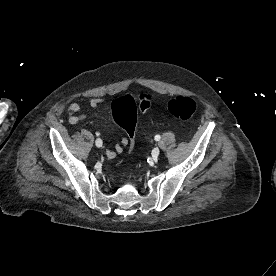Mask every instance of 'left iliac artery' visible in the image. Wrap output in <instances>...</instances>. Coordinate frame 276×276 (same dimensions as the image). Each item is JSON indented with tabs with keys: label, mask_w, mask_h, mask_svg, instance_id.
<instances>
[{
	"label": "left iliac artery",
	"mask_w": 276,
	"mask_h": 276,
	"mask_svg": "<svg viewBox=\"0 0 276 276\" xmlns=\"http://www.w3.org/2000/svg\"><path fill=\"white\" fill-rule=\"evenodd\" d=\"M160 138H161L160 135H156L154 139H155L156 141H159Z\"/></svg>",
	"instance_id": "obj_1"
}]
</instances>
